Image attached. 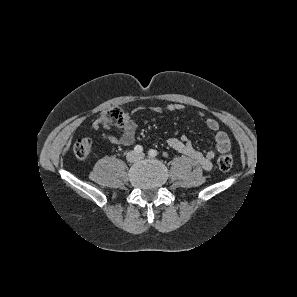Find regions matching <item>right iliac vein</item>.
<instances>
[{"mask_svg":"<svg viewBox=\"0 0 297 297\" xmlns=\"http://www.w3.org/2000/svg\"><path fill=\"white\" fill-rule=\"evenodd\" d=\"M127 159L129 160V161H135L136 159H137V155H136V153L135 152H129L128 154H127Z\"/></svg>","mask_w":297,"mask_h":297,"instance_id":"1","label":"right iliac vein"}]
</instances>
